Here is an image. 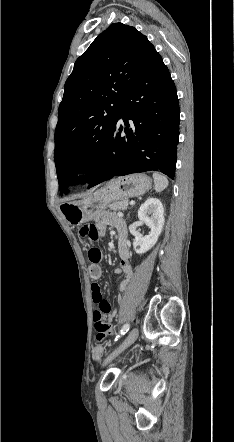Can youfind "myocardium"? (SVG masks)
Instances as JSON below:
<instances>
[{"label": "myocardium", "mask_w": 234, "mask_h": 442, "mask_svg": "<svg viewBox=\"0 0 234 442\" xmlns=\"http://www.w3.org/2000/svg\"><path fill=\"white\" fill-rule=\"evenodd\" d=\"M92 158L89 156H82L75 161L72 167V174L77 178L85 177L91 168Z\"/></svg>", "instance_id": "f54148a6"}]
</instances>
